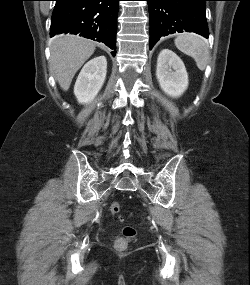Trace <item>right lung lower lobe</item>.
Listing matches in <instances>:
<instances>
[{
	"label": "right lung lower lobe",
	"instance_id": "right-lung-lower-lobe-1",
	"mask_svg": "<svg viewBox=\"0 0 250 285\" xmlns=\"http://www.w3.org/2000/svg\"><path fill=\"white\" fill-rule=\"evenodd\" d=\"M50 35L73 33L116 49L120 0H55ZM116 51L112 52L115 56Z\"/></svg>",
	"mask_w": 250,
	"mask_h": 285
}]
</instances>
